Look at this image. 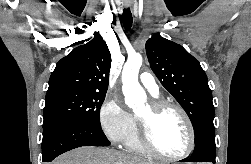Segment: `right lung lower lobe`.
Here are the masks:
<instances>
[{
  "instance_id": "1",
  "label": "right lung lower lobe",
  "mask_w": 251,
  "mask_h": 164,
  "mask_svg": "<svg viewBox=\"0 0 251 164\" xmlns=\"http://www.w3.org/2000/svg\"><path fill=\"white\" fill-rule=\"evenodd\" d=\"M42 162L81 146H108L101 127L86 123L54 120L43 123Z\"/></svg>"
}]
</instances>
